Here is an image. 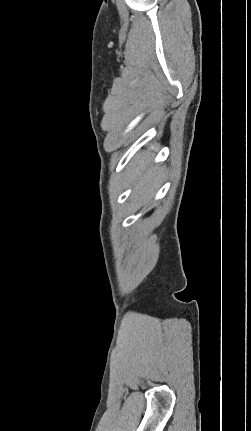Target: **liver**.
Returning <instances> with one entry per match:
<instances>
[{"instance_id": "1", "label": "liver", "mask_w": 251, "mask_h": 431, "mask_svg": "<svg viewBox=\"0 0 251 431\" xmlns=\"http://www.w3.org/2000/svg\"><path fill=\"white\" fill-rule=\"evenodd\" d=\"M159 178L158 168L152 166L151 160L143 155L137 156L132 161L127 172V182L129 185H134V193L138 197L147 200L153 196Z\"/></svg>"}]
</instances>
